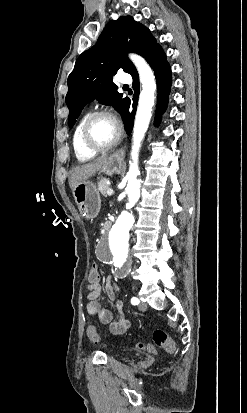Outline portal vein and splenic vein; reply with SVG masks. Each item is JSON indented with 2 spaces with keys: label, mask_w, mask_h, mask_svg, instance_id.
Here are the masks:
<instances>
[{
  "label": "portal vein and splenic vein",
  "mask_w": 247,
  "mask_h": 413,
  "mask_svg": "<svg viewBox=\"0 0 247 413\" xmlns=\"http://www.w3.org/2000/svg\"><path fill=\"white\" fill-rule=\"evenodd\" d=\"M113 192H114L113 188H108L107 194H109V196H111V194H113Z\"/></svg>",
  "instance_id": "1"
}]
</instances>
